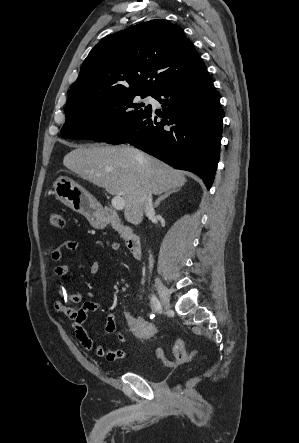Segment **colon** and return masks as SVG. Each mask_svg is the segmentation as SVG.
Masks as SVG:
<instances>
[{"label":"colon","mask_w":299,"mask_h":443,"mask_svg":"<svg viewBox=\"0 0 299 443\" xmlns=\"http://www.w3.org/2000/svg\"><path fill=\"white\" fill-rule=\"evenodd\" d=\"M49 224L52 228H63L64 219L62 214L58 211L51 212L49 215ZM123 316L127 329L136 338L148 340L157 335L158 328L152 322L141 317H136L130 311H124ZM172 351L175 361L180 364L188 362L194 356V354H189L187 352L185 344L181 339H176L174 341ZM157 355L163 359L166 364H173V362L165 357L162 350H157Z\"/></svg>","instance_id":"obj_1"}]
</instances>
